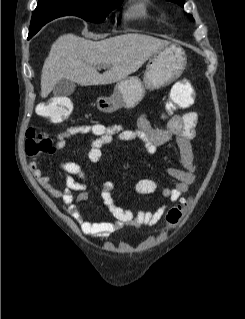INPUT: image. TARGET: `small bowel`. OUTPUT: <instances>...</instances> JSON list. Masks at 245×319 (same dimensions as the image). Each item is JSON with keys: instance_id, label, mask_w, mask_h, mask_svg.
<instances>
[{"instance_id": "c3829d8e", "label": "small bowel", "mask_w": 245, "mask_h": 319, "mask_svg": "<svg viewBox=\"0 0 245 319\" xmlns=\"http://www.w3.org/2000/svg\"><path fill=\"white\" fill-rule=\"evenodd\" d=\"M173 92H183L184 98L191 106L195 100L194 91L190 82L186 79L177 81ZM198 115L194 111L183 114H175L169 118L165 129H155L149 118L142 114L137 119L136 127L123 125L105 126L102 124L77 125L67 128L57 134L54 144L55 151H62L67 145V140L81 134H92L96 139L88 150V159L99 162L102 158V147L111 144L115 138L119 141L137 142L149 153L154 154L157 148L169 141H174L179 150V158L182 167H170L166 170L168 176L174 180L172 186L161 189L162 195L170 202L178 201L195 181V155L191 141L196 137ZM60 168L64 171L65 187L57 189L51 183L49 176L42 173L41 168L32 162L30 169L39 184L54 198L62 201L63 208L80 225L82 231L92 237L106 238L121 230L125 226H153L164 216L168 205L165 204L153 211H133L118 206L114 200L115 184L111 181L104 182L101 189V197L113 216L110 221H90L85 218L78 208V203L89 199L86 193L87 175L83 168L76 162L61 160ZM78 177L80 181L74 177ZM135 191L141 195L156 192L158 183L152 178H143L136 182ZM78 192V195H74Z\"/></svg>"}]
</instances>
